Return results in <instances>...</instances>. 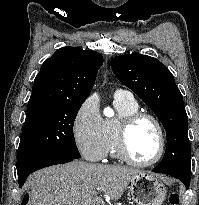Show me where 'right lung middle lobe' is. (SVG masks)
I'll return each instance as SVG.
<instances>
[{"label":"right lung middle lobe","mask_w":199,"mask_h":205,"mask_svg":"<svg viewBox=\"0 0 199 205\" xmlns=\"http://www.w3.org/2000/svg\"><path fill=\"white\" fill-rule=\"evenodd\" d=\"M83 102L52 104L27 112L17 152L18 174L48 158H80L73 126Z\"/></svg>","instance_id":"right-lung-middle-lobe-1"}]
</instances>
